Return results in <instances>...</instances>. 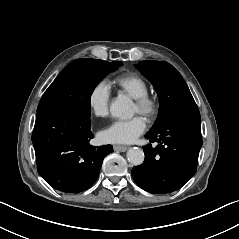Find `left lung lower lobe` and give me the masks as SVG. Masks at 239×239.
Returning a JSON list of instances; mask_svg holds the SVG:
<instances>
[{"label":"left lung lower lobe","instance_id":"left-lung-lower-lobe-1","mask_svg":"<svg viewBox=\"0 0 239 239\" xmlns=\"http://www.w3.org/2000/svg\"><path fill=\"white\" fill-rule=\"evenodd\" d=\"M156 147H143L144 162L132 169L134 181L153 194L180 189L195 174L202 136L198 108L174 113L145 136Z\"/></svg>","mask_w":239,"mask_h":239}]
</instances>
